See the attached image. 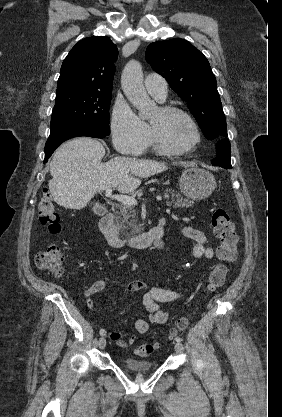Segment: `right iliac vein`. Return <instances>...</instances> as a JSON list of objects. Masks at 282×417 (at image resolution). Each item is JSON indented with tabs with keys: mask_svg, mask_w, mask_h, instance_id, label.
<instances>
[{
	"mask_svg": "<svg viewBox=\"0 0 282 417\" xmlns=\"http://www.w3.org/2000/svg\"><path fill=\"white\" fill-rule=\"evenodd\" d=\"M98 345H99V348H100V349H104V348H105V346H106V340H105V338H104V337H101V338L99 339Z\"/></svg>",
	"mask_w": 282,
	"mask_h": 417,
	"instance_id": "obj_1",
	"label": "right iliac vein"
}]
</instances>
